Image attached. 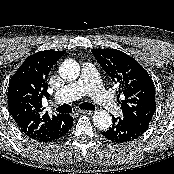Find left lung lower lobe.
I'll use <instances>...</instances> for the list:
<instances>
[{
    "mask_svg": "<svg viewBox=\"0 0 174 174\" xmlns=\"http://www.w3.org/2000/svg\"><path fill=\"white\" fill-rule=\"evenodd\" d=\"M146 130V127L125 121L119 117H113L112 126L108 130L103 131L102 135L111 142L125 143L137 139L143 135Z\"/></svg>",
    "mask_w": 174,
    "mask_h": 174,
    "instance_id": "obj_1",
    "label": "left lung lower lobe"
}]
</instances>
